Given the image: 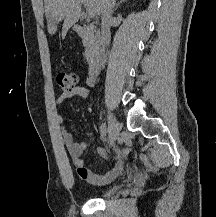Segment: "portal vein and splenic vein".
I'll use <instances>...</instances> for the list:
<instances>
[{
    "label": "portal vein and splenic vein",
    "instance_id": "18ae733b",
    "mask_svg": "<svg viewBox=\"0 0 216 217\" xmlns=\"http://www.w3.org/2000/svg\"><path fill=\"white\" fill-rule=\"evenodd\" d=\"M79 3L83 4L86 7V14L88 17H94V12L92 9L89 7V5L86 3L85 0H78Z\"/></svg>",
    "mask_w": 216,
    "mask_h": 217
}]
</instances>
